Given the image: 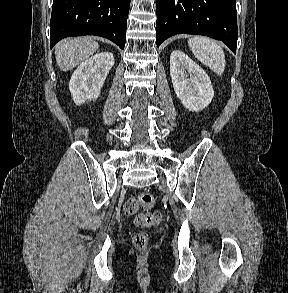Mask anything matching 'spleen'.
Returning <instances> with one entry per match:
<instances>
[{"label":"spleen","instance_id":"spleen-1","mask_svg":"<svg viewBox=\"0 0 288 293\" xmlns=\"http://www.w3.org/2000/svg\"><path fill=\"white\" fill-rule=\"evenodd\" d=\"M188 45L195 57L218 75L225 69V55L216 42L206 37H194L188 40Z\"/></svg>","mask_w":288,"mask_h":293}]
</instances>
